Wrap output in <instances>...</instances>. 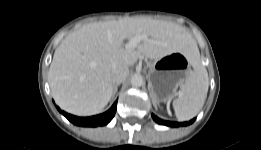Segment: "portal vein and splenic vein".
Here are the masks:
<instances>
[{
    "instance_id": "1",
    "label": "portal vein and splenic vein",
    "mask_w": 261,
    "mask_h": 150,
    "mask_svg": "<svg viewBox=\"0 0 261 150\" xmlns=\"http://www.w3.org/2000/svg\"><path fill=\"white\" fill-rule=\"evenodd\" d=\"M147 35L145 34H139L132 38H130L129 42L126 44V48L133 49L136 48L137 45L140 43V41L147 39Z\"/></svg>"
}]
</instances>
